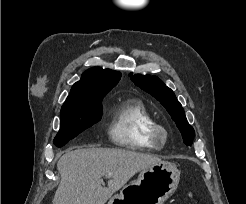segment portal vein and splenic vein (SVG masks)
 Instances as JSON below:
<instances>
[{"label":"portal vein and splenic vein","mask_w":246,"mask_h":204,"mask_svg":"<svg viewBox=\"0 0 246 204\" xmlns=\"http://www.w3.org/2000/svg\"><path fill=\"white\" fill-rule=\"evenodd\" d=\"M111 175H112V174H111V173H109L107 177H110Z\"/></svg>","instance_id":"1"}]
</instances>
